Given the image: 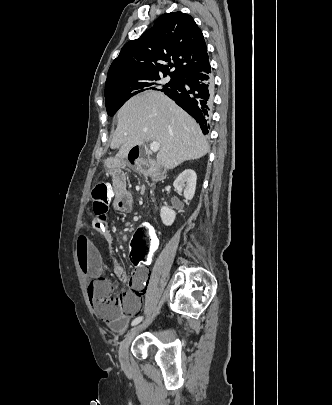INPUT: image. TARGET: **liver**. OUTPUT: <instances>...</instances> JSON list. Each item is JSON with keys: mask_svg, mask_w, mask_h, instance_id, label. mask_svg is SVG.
<instances>
[{"mask_svg": "<svg viewBox=\"0 0 332 405\" xmlns=\"http://www.w3.org/2000/svg\"><path fill=\"white\" fill-rule=\"evenodd\" d=\"M117 118L110 147H120L118 159L126 158L135 145L156 141L160 143L157 163L173 169L210 150L195 120L163 93L150 91L131 98L120 108Z\"/></svg>", "mask_w": 332, "mask_h": 405, "instance_id": "liver-1", "label": "liver"}]
</instances>
